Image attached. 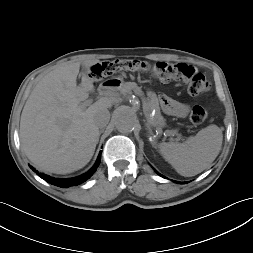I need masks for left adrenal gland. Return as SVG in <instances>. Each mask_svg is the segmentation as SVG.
Masks as SVG:
<instances>
[{
	"mask_svg": "<svg viewBox=\"0 0 253 253\" xmlns=\"http://www.w3.org/2000/svg\"><path fill=\"white\" fill-rule=\"evenodd\" d=\"M145 125H146V127H147L146 129L149 131V133L152 134V130H151L150 124L147 122Z\"/></svg>",
	"mask_w": 253,
	"mask_h": 253,
	"instance_id": "obj_1",
	"label": "left adrenal gland"
}]
</instances>
